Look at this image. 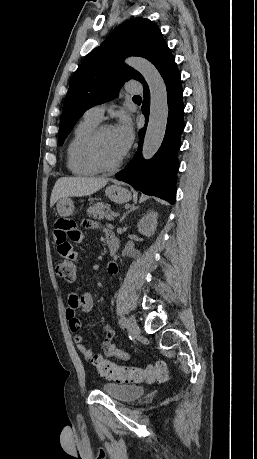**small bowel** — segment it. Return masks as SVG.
Instances as JSON below:
<instances>
[{
	"instance_id": "c3829d8e",
	"label": "small bowel",
	"mask_w": 257,
	"mask_h": 459,
	"mask_svg": "<svg viewBox=\"0 0 257 459\" xmlns=\"http://www.w3.org/2000/svg\"><path fill=\"white\" fill-rule=\"evenodd\" d=\"M76 220L80 226H89L90 219L85 217L83 213L76 215ZM106 231H111L106 229ZM82 227H76L72 217H56L53 224L52 237L55 239L59 257L64 261H74L80 263L84 260V253L78 249V244L86 243V236L82 235ZM108 271L112 275H117L118 268L115 263H109ZM94 305V299L91 293L84 292L82 294L71 293L68 297V305L65 310V317L68 321L69 329L75 333V342L78 351L87 359L92 360L93 353L90 348L84 343V337L80 333L81 320L78 318V313L89 312ZM105 337L102 343V351L109 357L127 360L129 354L122 351L116 344L113 343L115 332L108 326H104Z\"/></svg>"
}]
</instances>
